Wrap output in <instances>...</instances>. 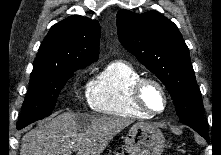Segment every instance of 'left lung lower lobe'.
Returning a JSON list of instances; mask_svg holds the SVG:
<instances>
[{"mask_svg": "<svg viewBox=\"0 0 221 155\" xmlns=\"http://www.w3.org/2000/svg\"><path fill=\"white\" fill-rule=\"evenodd\" d=\"M187 125L193 128L195 131H197L207 141H209V136H208L205 126H197V125H191V124H187Z\"/></svg>", "mask_w": 221, "mask_h": 155, "instance_id": "left-lung-lower-lobe-1", "label": "left lung lower lobe"}]
</instances>
